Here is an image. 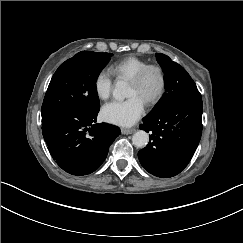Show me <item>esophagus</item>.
<instances>
[{"instance_id": "34e87169", "label": "esophagus", "mask_w": 243, "mask_h": 243, "mask_svg": "<svg viewBox=\"0 0 243 243\" xmlns=\"http://www.w3.org/2000/svg\"><path fill=\"white\" fill-rule=\"evenodd\" d=\"M133 132L132 129H127V128H121V133L124 135H129Z\"/></svg>"}]
</instances>
